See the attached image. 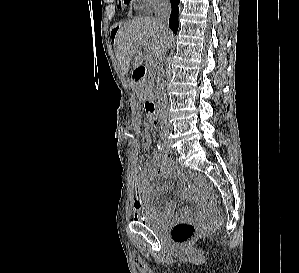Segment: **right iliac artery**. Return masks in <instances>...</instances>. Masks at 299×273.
<instances>
[{
    "label": "right iliac artery",
    "mask_w": 299,
    "mask_h": 273,
    "mask_svg": "<svg viewBox=\"0 0 299 273\" xmlns=\"http://www.w3.org/2000/svg\"><path fill=\"white\" fill-rule=\"evenodd\" d=\"M158 151H159V153L161 154V155H163V156H167V151H166V149H165V147L163 146V145H158Z\"/></svg>",
    "instance_id": "82829eb1"
}]
</instances>
